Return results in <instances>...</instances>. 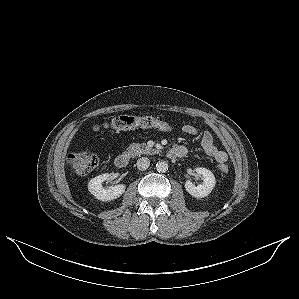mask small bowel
Instances as JSON below:
<instances>
[{
	"label": "small bowel",
	"instance_id": "c3829d8e",
	"mask_svg": "<svg viewBox=\"0 0 299 299\" xmlns=\"http://www.w3.org/2000/svg\"><path fill=\"white\" fill-rule=\"evenodd\" d=\"M182 131L187 135H195L197 132L196 128L190 124L184 125ZM201 144L206 154L214 158L219 164H223L227 161V153L215 145L213 135L210 132L206 131L203 133Z\"/></svg>",
	"mask_w": 299,
	"mask_h": 299
}]
</instances>
